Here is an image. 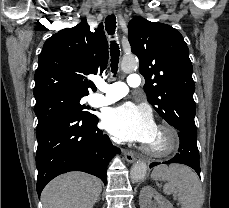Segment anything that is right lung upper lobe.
Here are the masks:
<instances>
[{
	"mask_svg": "<svg viewBox=\"0 0 229 208\" xmlns=\"http://www.w3.org/2000/svg\"><path fill=\"white\" fill-rule=\"evenodd\" d=\"M100 24L91 32L86 19L60 30L43 45L35 72L36 101L55 95L86 96L96 90L85 75L102 73L108 63V42Z\"/></svg>",
	"mask_w": 229,
	"mask_h": 208,
	"instance_id": "right-lung-upper-lobe-1",
	"label": "right lung upper lobe"
}]
</instances>
